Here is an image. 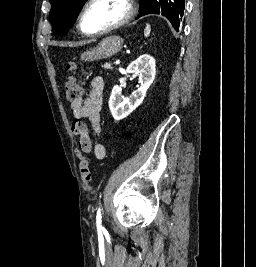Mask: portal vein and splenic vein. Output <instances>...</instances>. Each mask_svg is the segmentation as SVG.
I'll use <instances>...</instances> for the list:
<instances>
[{
  "label": "portal vein and splenic vein",
  "mask_w": 256,
  "mask_h": 267,
  "mask_svg": "<svg viewBox=\"0 0 256 267\" xmlns=\"http://www.w3.org/2000/svg\"><path fill=\"white\" fill-rule=\"evenodd\" d=\"M115 63H116V65H119V63H122V60L116 59Z\"/></svg>",
  "instance_id": "obj_1"
}]
</instances>
